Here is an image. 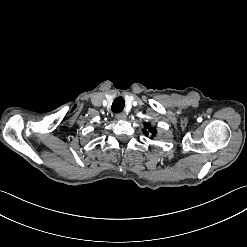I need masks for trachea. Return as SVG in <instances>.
I'll use <instances>...</instances> for the list:
<instances>
[{
    "instance_id": "3493384b",
    "label": "trachea",
    "mask_w": 247,
    "mask_h": 247,
    "mask_svg": "<svg viewBox=\"0 0 247 247\" xmlns=\"http://www.w3.org/2000/svg\"><path fill=\"white\" fill-rule=\"evenodd\" d=\"M125 106V101L123 97H117L112 103L111 110L114 113H120L123 111Z\"/></svg>"
}]
</instances>
